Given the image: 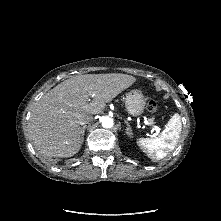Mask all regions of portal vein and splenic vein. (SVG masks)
Wrapping results in <instances>:
<instances>
[{"label":"portal vein and splenic vein","mask_w":221,"mask_h":221,"mask_svg":"<svg viewBox=\"0 0 221 221\" xmlns=\"http://www.w3.org/2000/svg\"><path fill=\"white\" fill-rule=\"evenodd\" d=\"M146 124H148V123H146ZM152 130H153V131H159L160 128H159L158 126H153Z\"/></svg>","instance_id":"18ae733b"}]
</instances>
